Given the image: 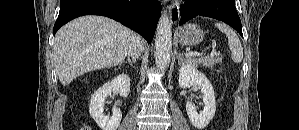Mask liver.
I'll return each instance as SVG.
<instances>
[{
    "mask_svg": "<svg viewBox=\"0 0 299 130\" xmlns=\"http://www.w3.org/2000/svg\"><path fill=\"white\" fill-rule=\"evenodd\" d=\"M134 32L102 16H83L63 26L56 34L53 60L63 86L93 70L121 64Z\"/></svg>",
    "mask_w": 299,
    "mask_h": 130,
    "instance_id": "6515ba94",
    "label": "liver"
}]
</instances>
